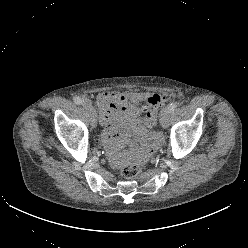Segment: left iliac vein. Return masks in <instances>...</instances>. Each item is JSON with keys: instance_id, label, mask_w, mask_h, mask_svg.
<instances>
[{"instance_id": "1", "label": "left iliac vein", "mask_w": 248, "mask_h": 248, "mask_svg": "<svg viewBox=\"0 0 248 248\" xmlns=\"http://www.w3.org/2000/svg\"><path fill=\"white\" fill-rule=\"evenodd\" d=\"M169 113H170V110L168 108H163L160 112V123L163 128L168 127Z\"/></svg>"}]
</instances>
